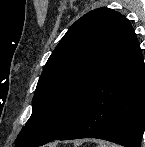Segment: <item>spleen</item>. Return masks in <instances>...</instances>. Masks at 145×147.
I'll return each mask as SVG.
<instances>
[{
	"label": "spleen",
	"instance_id": "1",
	"mask_svg": "<svg viewBox=\"0 0 145 147\" xmlns=\"http://www.w3.org/2000/svg\"><path fill=\"white\" fill-rule=\"evenodd\" d=\"M98 147H115L114 145H106V144H103L101 143Z\"/></svg>",
	"mask_w": 145,
	"mask_h": 147
}]
</instances>
